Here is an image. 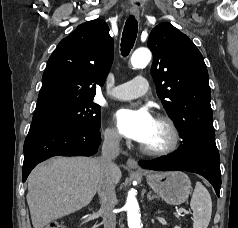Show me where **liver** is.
<instances>
[{
  "label": "liver",
  "mask_w": 238,
  "mask_h": 228,
  "mask_svg": "<svg viewBox=\"0 0 238 228\" xmlns=\"http://www.w3.org/2000/svg\"><path fill=\"white\" fill-rule=\"evenodd\" d=\"M98 159L56 157L36 166L28 177L27 203L34 228H44L74 213L93 199L98 185ZM114 184L122 173L116 166Z\"/></svg>",
  "instance_id": "liver-1"
}]
</instances>
